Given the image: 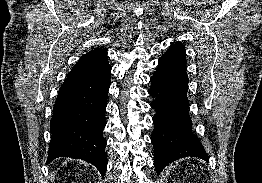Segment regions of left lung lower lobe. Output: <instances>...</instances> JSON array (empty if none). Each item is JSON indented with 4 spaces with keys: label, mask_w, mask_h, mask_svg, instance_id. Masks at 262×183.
Returning a JSON list of instances; mask_svg holds the SVG:
<instances>
[{
    "label": "left lung lower lobe",
    "mask_w": 262,
    "mask_h": 183,
    "mask_svg": "<svg viewBox=\"0 0 262 183\" xmlns=\"http://www.w3.org/2000/svg\"><path fill=\"white\" fill-rule=\"evenodd\" d=\"M149 94L155 109L151 142L157 173L175 160L197 157L208 161V155L192 132L187 98L188 76L185 50L170 47L158 60Z\"/></svg>",
    "instance_id": "obj_1"
}]
</instances>
